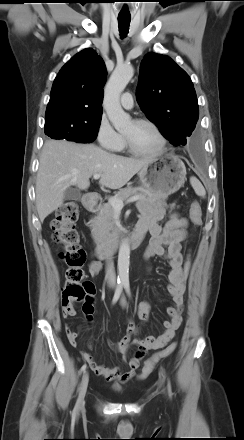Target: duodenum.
I'll use <instances>...</instances> for the list:
<instances>
[{"mask_svg":"<svg viewBox=\"0 0 244 440\" xmlns=\"http://www.w3.org/2000/svg\"><path fill=\"white\" fill-rule=\"evenodd\" d=\"M84 205L88 211L94 212L100 208L101 200L96 195L88 194L84 200ZM146 232L145 228L136 227L134 233L126 239L112 237L102 240L96 245L95 253L98 259L105 260L112 256L123 243H127L131 247H138L142 243Z\"/></svg>","mask_w":244,"mask_h":440,"instance_id":"410a0bca","label":"duodenum"}]
</instances>
